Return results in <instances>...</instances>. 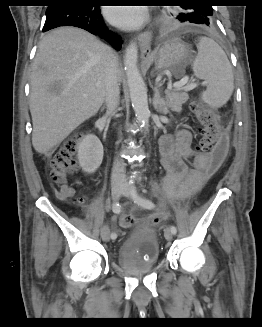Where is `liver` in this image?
<instances>
[{"label":"liver","mask_w":262,"mask_h":327,"mask_svg":"<svg viewBox=\"0 0 262 327\" xmlns=\"http://www.w3.org/2000/svg\"><path fill=\"white\" fill-rule=\"evenodd\" d=\"M112 49L90 33L62 27L39 43L31 74L34 149L47 155L105 100ZM120 71L118 69V76Z\"/></svg>","instance_id":"1"}]
</instances>
